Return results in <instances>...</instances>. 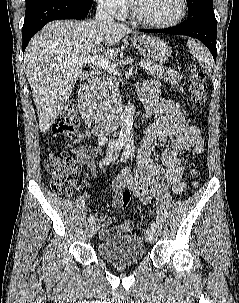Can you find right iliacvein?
<instances>
[{"label": "right iliac vein", "mask_w": 239, "mask_h": 303, "mask_svg": "<svg viewBox=\"0 0 239 303\" xmlns=\"http://www.w3.org/2000/svg\"><path fill=\"white\" fill-rule=\"evenodd\" d=\"M97 230H98V225H97V223H95V222L91 223V224L88 226V236H89V237H93V236L96 234Z\"/></svg>", "instance_id": "obj_1"}]
</instances>
